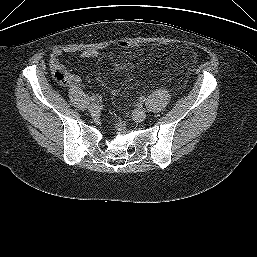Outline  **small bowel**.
<instances>
[{"instance_id": "obj_1", "label": "small bowel", "mask_w": 257, "mask_h": 257, "mask_svg": "<svg viewBox=\"0 0 257 257\" xmlns=\"http://www.w3.org/2000/svg\"><path fill=\"white\" fill-rule=\"evenodd\" d=\"M63 53V50L60 48H55L52 50L49 56V65L54 70L56 68H61L60 57ZM98 52L96 50H86L80 53L81 58H96ZM113 67L118 72H125L133 68V65L126 60H118L114 62ZM81 82V78L76 74L69 75V84L71 86L77 85Z\"/></svg>"}]
</instances>
